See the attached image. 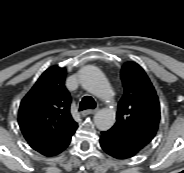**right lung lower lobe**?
<instances>
[{
  "label": "right lung lower lobe",
  "instance_id": "98d812e1",
  "mask_svg": "<svg viewBox=\"0 0 184 173\" xmlns=\"http://www.w3.org/2000/svg\"><path fill=\"white\" fill-rule=\"evenodd\" d=\"M74 134V133H73ZM72 134V135H73ZM72 135L60 146L58 147L56 150H54L53 152L47 154V155H44V156H47V157H52V156H56L58 154H60L61 152H63L67 146L69 145L70 141H71V137Z\"/></svg>",
  "mask_w": 184,
  "mask_h": 173
}]
</instances>
